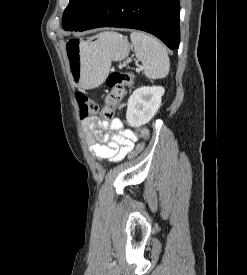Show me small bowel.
Returning <instances> with one entry per match:
<instances>
[{"instance_id": "c3829d8e", "label": "small bowel", "mask_w": 247, "mask_h": 275, "mask_svg": "<svg viewBox=\"0 0 247 275\" xmlns=\"http://www.w3.org/2000/svg\"><path fill=\"white\" fill-rule=\"evenodd\" d=\"M86 139L94 157L116 163L130 153L137 135L125 129L118 118L102 119L92 115L83 122Z\"/></svg>"}]
</instances>
